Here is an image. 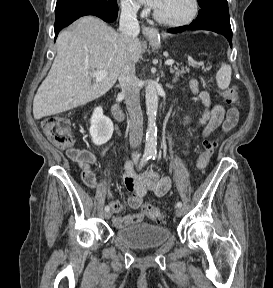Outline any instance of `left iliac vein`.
Instances as JSON below:
<instances>
[{
	"label": "left iliac vein",
	"instance_id": "left-iliac-vein-1",
	"mask_svg": "<svg viewBox=\"0 0 273 288\" xmlns=\"http://www.w3.org/2000/svg\"><path fill=\"white\" fill-rule=\"evenodd\" d=\"M175 214H176L177 217H180V216L183 215V210L178 207V208L175 210Z\"/></svg>",
	"mask_w": 273,
	"mask_h": 288
}]
</instances>
